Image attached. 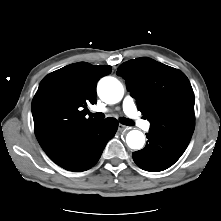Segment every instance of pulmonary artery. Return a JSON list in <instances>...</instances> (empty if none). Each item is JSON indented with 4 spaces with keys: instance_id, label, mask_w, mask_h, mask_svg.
Instances as JSON below:
<instances>
[{
    "instance_id": "1",
    "label": "pulmonary artery",
    "mask_w": 221,
    "mask_h": 221,
    "mask_svg": "<svg viewBox=\"0 0 221 221\" xmlns=\"http://www.w3.org/2000/svg\"><path fill=\"white\" fill-rule=\"evenodd\" d=\"M123 110L125 114L133 121L134 124H136L138 127H141L143 129H149L150 123L148 121H144L139 117V114L137 112L135 101L132 96L126 95L123 100ZM98 111H105V109L101 110L98 109Z\"/></svg>"
}]
</instances>
